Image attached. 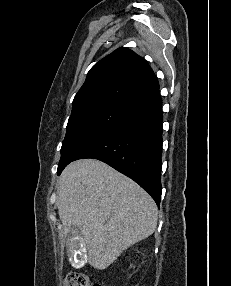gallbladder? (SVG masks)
<instances>
[{
    "label": "gallbladder",
    "mask_w": 231,
    "mask_h": 286,
    "mask_svg": "<svg viewBox=\"0 0 231 286\" xmlns=\"http://www.w3.org/2000/svg\"><path fill=\"white\" fill-rule=\"evenodd\" d=\"M71 230H73V233H70V236L72 238H68L66 240V251H67V258L69 259V263L73 265L75 269H80L81 267H84L88 263V257H87V249H86V243L85 240H82V236H78V230L80 229L79 225H71Z\"/></svg>",
    "instance_id": "1"
}]
</instances>
